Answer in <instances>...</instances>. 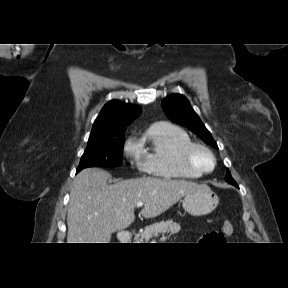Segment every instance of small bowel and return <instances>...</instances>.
<instances>
[{
	"label": "small bowel",
	"mask_w": 288,
	"mask_h": 288,
	"mask_svg": "<svg viewBox=\"0 0 288 288\" xmlns=\"http://www.w3.org/2000/svg\"><path fill=\"white\" fill-rule=\"evenodd\" d=\"M212 234V233H211ZM211 234H208L206 237L203 238L202 242H210L209 236Z\"/></svg>",
	"instance_id": "c3829d8e"
}]
</instances>
